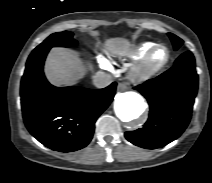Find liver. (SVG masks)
Returning a JSON list of instances; mask_svg holds the SVG:
<instances>
[{"label": "liver", "instance_id": "1", "mask_svg": "<svg viewBox=\"0 0 212 183\" xmlns=\"http://www.w3.org/2000/svg\"><path fill=\"white\" fill-rule=\"evenodd\" d=\"M106 45L110 50L121 55L129 48V43L119 38L107 40ZM45 74L54 86H70L84 76L85 69L82 61L73 51L53 48L45 63Z\"/></svg>", "mask_w": 212, "mask_h": 183}]
</instances>
